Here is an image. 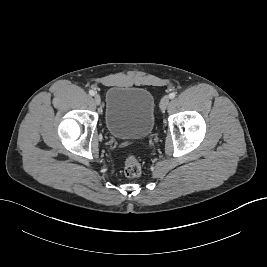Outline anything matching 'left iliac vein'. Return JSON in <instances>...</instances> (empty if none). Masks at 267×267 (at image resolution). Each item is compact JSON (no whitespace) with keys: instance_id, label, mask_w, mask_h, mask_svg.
Masks as SVG:
<instances>
[{"instance_id":"obj_1","label":"left iliac vein","mask_w":267,"mask_h":267,"mask_svg":"<svg viewBox=\"0 0 267 267\" xmlns=\"http://www.w3.org/2000/svg\"><path fill=\"white\" fill-rule=\"evenodd\" d=\"M169 97L165 96L162 98L161 102H160V108L161 110H165L167 108V106L169 105Z\"/></svg>"}]
</instances>
